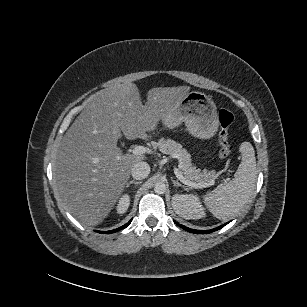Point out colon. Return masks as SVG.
<instances>
[{"mask_svg":"<svg viewBox=\"0 0 307 307\" xmlns=\"http://www.w3.org/2000/svg\"><path fill=\"white\" fill-rule=\"evenodd\" d=\"M218 120L220 124L219 131V154L222 157H227L231 153L229 145V128L233 123L234 116L231 111L227 109H221L218 113Z\"/></svg>","mask_w":307,"mask_h":307,"instance_id":"5ec220e1","label":"colon"}]
</instances>
